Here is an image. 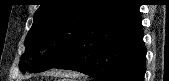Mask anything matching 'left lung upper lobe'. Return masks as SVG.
<instances>
[{
  "mask_svg": "<svg viewBox=\"0 0 169 81\" xmlns=\"http://www.w3.org/2000/svg\"><path fill=\"white\" fill-rule=\"evenodd\" d=\"M114 0H44L35 12L25 39L20 70L37 73L54 68L67 59L84 29ZM48 51L31 64L23 59Z\"/></svg>",
  "mask_w": 169,
  "mask_h": 81,
  "instance_id": "5c2ea615",
  "label": "left lung upper lobe"
}]
</instances>
